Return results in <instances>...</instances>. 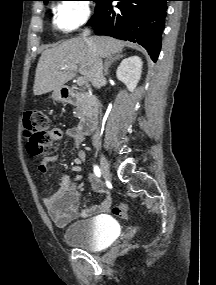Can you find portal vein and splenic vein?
<instances>
[{
	"label": "portal vein and splenic vein",
	"instance_id": "obj_1",
	"mask_svg": "<svg viewBox=\"0 0 216 285\" xmlns=\"http://www.w3.org/2000/svg\"><path fill=\"white\" fill-rule=\"evenodd\" d=\"M63 69H67V70L69 69V70H72V71H77V66L76 65H68V66L64 67ZM85 82L86 81H85V78L83 76L77 78V84L79 86L84 85Z\"/></svg>",
	"mask_w": 216,
	"mask_h": 285
}]
</instances>
